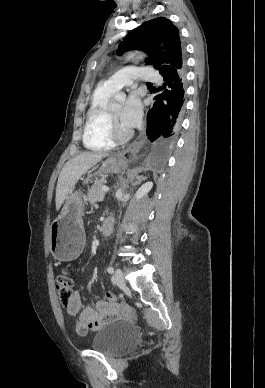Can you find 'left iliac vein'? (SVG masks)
<instances>
[{"label":"left iliac vein","instance_id":"1","mask_svg":"<svg viewBox=\"0 0 265 388\" xmlns=\"http://www.w3.org/2000/svg\"><path fill=\"white\" fill-rule=\"evenodd\" d=\"M114 283L120 288L125 287V285H126L125 279H124V275H123V272L121 271V269H116L115 275H114Z\"/></svg>","mask_w":265,"mask_h":388}]
</instances>
